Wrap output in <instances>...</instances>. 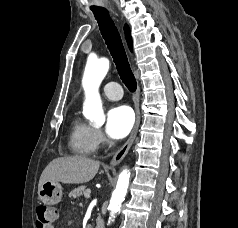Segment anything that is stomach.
<instances>
[{
  "label": "stomach",
  "mask_w": 238,
  "mask_h": 228,
  "mask_svg": "<svg viewBox=\"0 0 238 228\" xmlns=\"http://www.w3.org/2000/svg\"><path fill=\"white\" fill-rule=\"evenodd\" d=\"M62 186L58 182L46 181L38 190L39 199L47 205H55L61 201Z\"/></svg>",
  "instance_id": "obj_1"
}]
</instances>
